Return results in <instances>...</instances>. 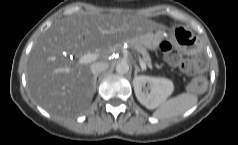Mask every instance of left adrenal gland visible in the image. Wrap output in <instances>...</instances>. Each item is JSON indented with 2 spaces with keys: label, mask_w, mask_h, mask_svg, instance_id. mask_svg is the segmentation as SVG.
Masks as SVG:
<instances>
[{
  "label": "left adrenal gland",
  "mask_w": 238,
  "mask_h": 145,
  "mask_svg": "<svg viewBox=\"0 0 238 145\" xmlns=\"http://www.w3.org/2000/svg\"><path fill=\"white\" fill-rule=\"evenodd\" d=\"M135 67V71H134V76L136 77L137 76V73L138 72H143L144 70L140 69L136 64L134 65Z\"/></svg>",
  "instance_id": "obj_1"
}]
</instances>
